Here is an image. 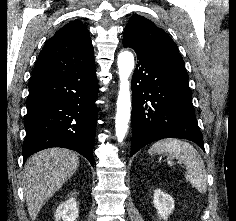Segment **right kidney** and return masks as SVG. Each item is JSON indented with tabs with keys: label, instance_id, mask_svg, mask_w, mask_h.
<instances>
[{
	"label": "right kidney",
	"instance_id": "obj_1",
	"mask_svg": "<svg viewBox=\"0 0 236 221\" xmlns=\"http://www.w3.org/2000/svg\"><path fill=\"white\" fill-rule=\"evenodd\" d=\"M79 215V210L75 198H69L64 203L60 204L55 213V221H76Z\"/></svg>",
	"mask_w": 236,
	"mask_h": 221
}]
</instances>
